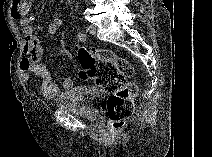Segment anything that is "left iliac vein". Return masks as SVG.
<instances>
[{
  "label": "left iliac vein",
  "instance_id": "4c4485c4",
  "mask_svg": "<svg viewBox=\"0 0 212 157\" xmlns=\"http://www.w3.org/2000/svg\"><path fill=\"white\" fill-rule=\"evenodd\" d=\"M87 32H89L92 35L96 34V27L94 25H88L87 26Z\"/></svg>",
  "mask_w": 212,
  "mask_h": 157
}]
</instances>
